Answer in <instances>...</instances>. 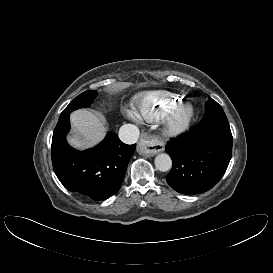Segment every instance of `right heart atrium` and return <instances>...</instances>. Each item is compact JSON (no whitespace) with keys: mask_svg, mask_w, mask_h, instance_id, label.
I'll return each instance as SVG.
<instances>
[{"mask_svg":"<svg viewBox=\"0 0 273 273\" xmlns=\"http://www.w3.org/2000/svg\"><path fill=\"white\" fill-rule=\"evenodd\" d=\"M126 114H127L128 118L133 120V121H137L138 118H139L137 112L135 110H132V109L127 110Z\"/></svg>","mask_w":273,"mask_h":273,"instance_id":"obj_1","label":"right heart atrium"}]
</instances>
